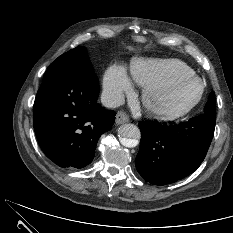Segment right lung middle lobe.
I'll use <instances>...</instances> for the list:
<instances>
[{
	"instance_id": "obj_1",
	"label": "right lung middle lobe",
	"mask_w": 233,
	"mask_h": 233,
	"mask_svg": "<svg viewBox=\"0 0 233 233\" xmlns=\"http://www.w3.org/2000/svg\"><path fill=\"white\" fill-rule=\"evenodd\" d=\"M87 52L84 47H76L64 53L58 57L48 69L53 68H67V69H79V68H91Z\"/></svg>"
}]
</instances>
